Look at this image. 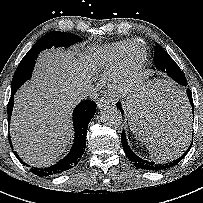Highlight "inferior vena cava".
Listing matches in <instances>:
<instances>
[{"mask_svg": "<svg viewBox=\"0 0 203 203\" xmlns=\"http://www.w3.org/2000/svg\"><path fill=\"white\" fill-rule=\"evenodd\" d=\"M92 94V89L88 85H82L74 91L73 97L76 101L88 98Z\"/></svg>", "mask_w": 203, "mask_h": 203, "instance_id": "1", "label": "inferior vena cava"}]
</instances>
